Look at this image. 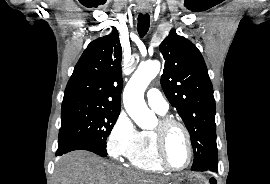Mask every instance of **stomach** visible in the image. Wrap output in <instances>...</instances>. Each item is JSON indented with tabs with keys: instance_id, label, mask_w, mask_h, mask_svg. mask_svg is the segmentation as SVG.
Instances as JSON below:
<instances>
[{
	"instance_id": "stomach-1",
	"label": "stomach",
	"mask_w": 270,
	"mask_h": 184,
	"mask_svg": "<svg viewBox=\"0 0 270 184\" xmlns=\"http://www.w3.org/2000/svg\"><path fill=\"white\" fill-rule=\"evenodd\" d=\"M170 184H209V183L202 175L195 173H188L177 177Z\"/></svg>"
}]
</instances>
